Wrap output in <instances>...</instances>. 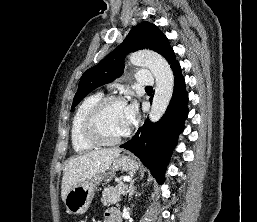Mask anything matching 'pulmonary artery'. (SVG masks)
I'll list each match as a JSON object with an SVG mask.
<instances>
[{
    "mask_svg": "<svg viewBox=\"0 0 257 222\" xmlns=\"http://www.w3.org/2000/svg\"><path fill=\"white\" fill-rule=\"evenodd\" d=\"M136 82L140 85H152L154 77L149 71H139L136 73Z\"/></svg>",
    "mask_w": 257,
    "mask_h": 222,
    "instance_id": "1",
    "label": "pulmonary artery"
}]
</instances>
